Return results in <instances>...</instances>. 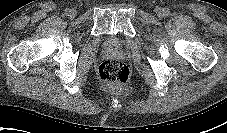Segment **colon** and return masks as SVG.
Instances as JSON below:
<instances>
[{
	"label": "colon",
	"instance_id": "5ec220e1",
	"mask_svg": "<svg viewBox=\"0 0 227 133\" xmlns=\"http://www.w3.org/2000/svg\"><path fill=\"white\" fill-rule=\"evenodd\" d=\"M98 77L103 84L125 86L129 81L130 71L121 61L108 59L99 66Z\"/></svg>",
	"mask_w": 227,
	"mask_h": 133
}]
</instances>
